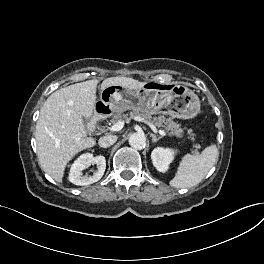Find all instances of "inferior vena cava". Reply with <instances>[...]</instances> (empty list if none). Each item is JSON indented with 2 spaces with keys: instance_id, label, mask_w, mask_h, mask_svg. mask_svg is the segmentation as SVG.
Returning <instances> with one entry per match:
<instances>
[{
  "instance_id": "1",
  "label": "inferior vena cava",
  "mask_w": 264,
  "mask_h": 264,
  "mask_svg": "<svg viewBox=\"0 0 264 264\" xmlns=\"http://www.w3.org/2000/svg\"><path fill=\"white\" fill-rule=\"evenodd\" d=\"M117 141V136L115 135H105L100 137L98 144L102 148H107L113 145Z\"/></svg>"
}]
</instances>
